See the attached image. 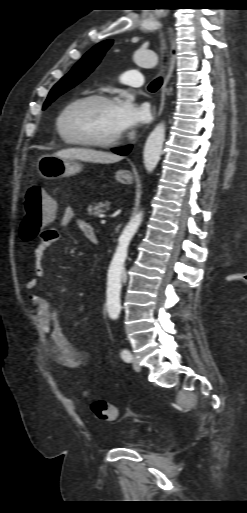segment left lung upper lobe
<instances>
[{
    "label": "left lung upper lobe",
    "instance_id": "obj_1",
    "mask_svg": "<svg viewBox=\"0 0 247 513\" xmlns=\"http://www.w3.org/2000/svg\"><path fill=\"white\" fill-rule=\"evenodd\" d=\"M113 41L105 40L90 49L50 91L43 109H45L56 98L70 90L84 80L93 69L99 64L105 52L111 47Z\"/></svg>",
    "mask_w": 247,
    "mask_h": 513
}]
</instances>
